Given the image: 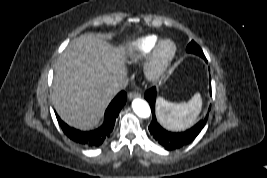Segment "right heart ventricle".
<instances>
[{
  "mask_svg": "<svg viewBox=\"0 0 267 178\" xmlns=\"http://www.w3.org/2000/svg\"><path fill=\"white\" fill-rule=\"evenodd\" d=\"M159 41V36L154 34L137 38L129 44L125 51L127 60L135 64L142 62L151 54Z\"/></svg>",
  "mask_w": 267,
  "mask_h": 178,
  "instance_id": "1",
  "label": "right heart ventricle"
}]
</instances>
